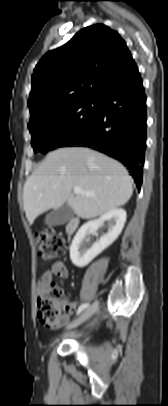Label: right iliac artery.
I'll return each mask as SVG.
<instances>
[{
	"mask_svg": "<svg viewBox=\"0 0 168 406\" xmlns=\"http://www.w3.org/2000/svg\"><path fill=\"white\" fill-rule=\"evenodd\" d=\"M89 306L88 303H84L82 305L79 306L78 310H77V315H79L84 309H86Z\"/></svg>",
	"mask_w": 168,
	"mask_h": 406,
	"instance_id": "right-iliac-artery-1",
	"label": "right iliac artery"
}]
</instances>
